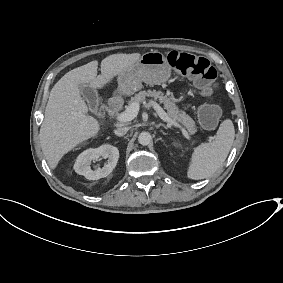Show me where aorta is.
<instances>
[{"label": "aorta", "mask_w": 283, "mask_h": 283, "mask_svg": "<svg viewBox=\"0 0 283 283\" xmlns=\"http://www.w3.org/2000/svg\"><path fill=\"white\" fill-rule=\"evenodd\" d=\"M152 141V136L149 132H141L138 136V142L143 145L146 146L148 144H150Z\"/></svg>", "instance_id": "1"}]
</instances>
